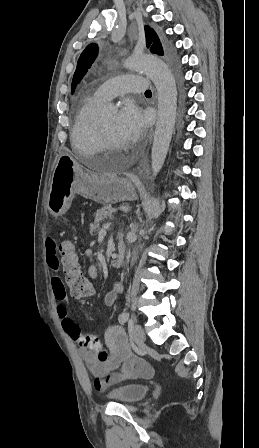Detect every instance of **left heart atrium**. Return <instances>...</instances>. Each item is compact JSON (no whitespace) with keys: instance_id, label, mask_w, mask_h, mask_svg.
<instances>
[{"instance_id":"39dd6f15","label":"left heart atrium","mask_w":259,"mask_h":448,"mask_svg":"<svg viewBox=\"0 0 259 448\" xmlns=\"http://www.w3.org/2000/svg\"><path fill=\"white\" fill-rule=\"evenodd\" d=\"M117 127L130 139L140 138L146 127L143 110L134 102L126 101L117 115Z\"/></svg>"}]
</instances>
